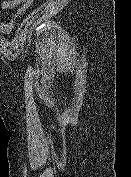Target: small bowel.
<instances>
[{"label":"small bowel","mask_w":131,"mask_h":177,"mask_svg":"<svg viewBox=\"0 0 131 177\" xmlns=\"http://www.w3.org/2000/svg\"><path fill=\"white\" fill-rule=\"evenodd\" d=\"M34 2L35 0H0V6L3 9L15 10L14 15L9 22L0 24V31L2 33L10 32L14 26L15 20L23 15Z\"/></svg>","instance_id":"1"}]
</instances>
